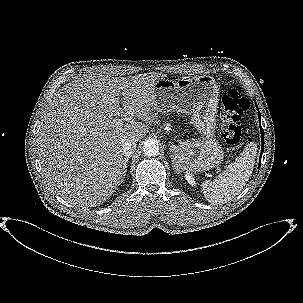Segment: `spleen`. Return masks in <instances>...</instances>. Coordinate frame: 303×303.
<instances>
[{"mask_svg": "<svg viewBox=\"0 0 303 303\" xmlns=\"http://www.w3.org/2000/svg\"><path fill=\"white\" fill-rule=\"evenodd\" d=\"M256 154L257 145L248 143L235 162L229 164L214 181H204L201 187L206 200L218 205L227 203L238 195L252 174Z\"/></svg>", "mask_w": 303, "mask_h": 303, "instance_id": "3e777b00", "label": "spleen"}]
</instances>
